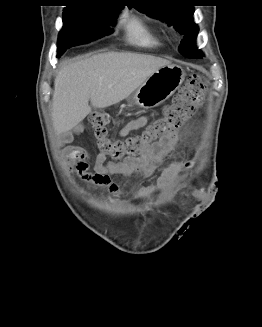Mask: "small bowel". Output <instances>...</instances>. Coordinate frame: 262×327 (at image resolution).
<instances>
[{
	"instance_id": "1",
	"label": "small bowel",
	"mask_w": 262,
	"mask_h": 327,
	"mask_svg": "<svg viewBox=\"0 0 262 327\" xmlns=\"http://www.w3.org/2000/svg\"><path fill=\"white\" fill-rule=\"evenodd\" d=\"M149 122L148 116H139L127 121L120 129L119 136L126 137L131 131L143 128ZM77 127L74 132H77ZM73 132H69L64 141H71ZM178 134L174 132L170 137L161 140L149 147L140 157L136 159L126 160L122 163L107 162L106 156L98 153L94 163L93 172L89 171V161L86 151L78 146H66L63 149V163L70 169L74 170L78 176L95 186L106 188L112 196L119 197L121 190L119 186L112 180V175L124 177L139 176L150 177L157 170L162 158L169 153L177 143ZM190 167V164L183 161L171 163L164 169L155 186H145L139 190L140 196H146L158 189H169L173 187L180 174L184 169ZM190 195L196 199H205L206 188H190Z\"/></svg>"
}]
</instances>
